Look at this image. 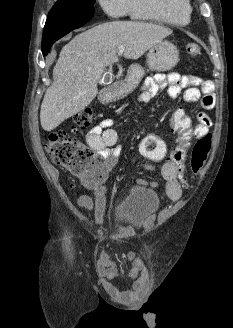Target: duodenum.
<instances>
[{"label": "duodenum", "instance_id": "obj_1", "mask_svg": "<svg viewBox=\"0 0 233 328\" xmlns=\"http://www.w3.org/2000/svg\"><path fill=\"white\" fill-rule=\"evenodd\" d=\"M115 92H116L115 87L104 88L101 91L100 98L103 102H109L110 100H112L114 98Z\"/></svg>", "mask_w": 233, "mask_h": 328}]
</instances>
